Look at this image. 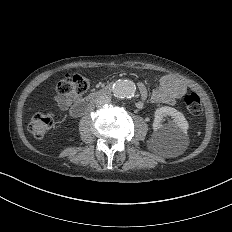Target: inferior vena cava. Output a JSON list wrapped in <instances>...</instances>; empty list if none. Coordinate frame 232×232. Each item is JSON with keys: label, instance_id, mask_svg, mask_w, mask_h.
I'll use <instances>...</instances> for the list:
<instances>
[{"label": "inferior vena cava", "instance_id": "inferior-vena-cava-1", "mask_svg": "<svg viewBox=\"0 0 232 232\" xmlns=\"http://www.w3.org/2000/svg\"><path fill=\"white\" fill-rule=\"evenodd\" d=\"M110 102L109 96H101L97 102V106H103L104 104H108Z\"/></svg>", "mask_w": 232, "mask_h": 232}]
</instances>
